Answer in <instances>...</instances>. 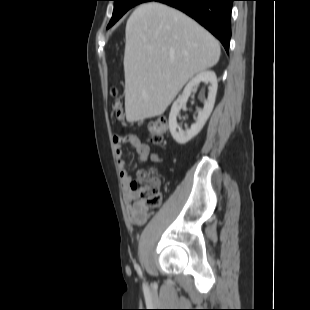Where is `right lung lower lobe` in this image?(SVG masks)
I'll return each mask as SVG.
<instances>
[{"label":"right lung lower lobe","instance_id":"98d812e1","mask_svg":"<svg viewBox=\"0 0 310 310\" xmlns=\"http://www.w3.org/2000/svg\"><path fill=\"white\" fill-rule=\"evenodd\" d=\"M158 1L186 13L220 40L228 52L231 10L235 0H148Z\"/></svg>","mask_w":310,"mask_h":310}]
</instances>
